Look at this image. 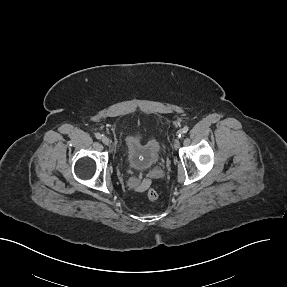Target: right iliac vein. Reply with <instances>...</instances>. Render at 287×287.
<instances>
[{"label":"right iliac vein","instance_id":"right-iliac-vein-1","mask_svg":"<svg viewBox=\"0 0 287 287\" xmlns=\"http://www.w3.org/2000/svg\"><path fill=\"white\" fill-rule=\"evenodd\" d=\"M102 142L105 145H109L111 141L108 137L104 136V137H102Z\"/></svg>","mask_w":287,"mask_h":287}]
</instances>
